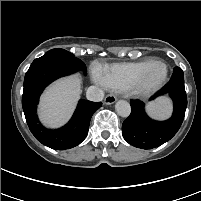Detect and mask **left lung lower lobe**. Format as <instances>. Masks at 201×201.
Returning <instances> with one entry per match:
<instances>
[{
	"mask_svg": "<svg viewBox=\"0 0 201 201\" xmlns=\"http://www.w3.org/2000/svg\"><path fill=\"white\" fill-rule=\"evenodd\" d=\"M169 94L174 103L173 115L166 121L150 119L144 103L131 101V114L122 124V135L131 145L141 149H152L169 141L179 130L187 107L183 70L175 67L170 81L151 100Z\"/></svg>",
	"mask_w": 201,
	"mask_h": 201,
	"instance_id": "1",
	"label": "left lung lower lobe"
}]
</instances>
